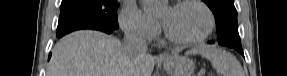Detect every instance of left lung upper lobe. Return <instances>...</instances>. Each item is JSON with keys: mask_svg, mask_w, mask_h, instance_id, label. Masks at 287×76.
Here are the masks:
<instances>
[{"mask_svg": "<svg viewBox=\"0 0 287 76\" xmlns=\"http://www.w3.org/2000/svg\"><path fill=\"white\" fill-rule=\"evenodd\" d=\"M203 1L215 15L218 43L228 47L241 46L234 0Z\"/></svg>", "mask_w": 287, "mask_h": 76, "instance_id": "1", "label": "left lung upper lobe"}]
</instances>
